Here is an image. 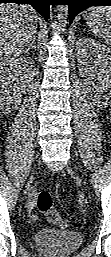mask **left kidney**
<instances>
[{
  "instance_id": "1",
  "label": "left kidney",
  "mask_w": 111,
  "mask_h": 257,
  "mask_svg": "<svg viewBox=\"0 0 111 257\" xmlns=\"http://www.w3.org/2000/svg\"><path fill=\"white\" fill-rule=\"evenodd\" d=\"M76 45L79 70L91 85L89 89L94 98L107 105L111 102L110 49L92 38L79 39Z\"/></svg>"
}]
</instances>
